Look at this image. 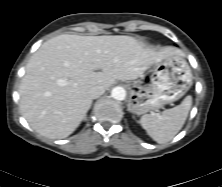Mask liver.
<instances>
[{"instance_id": "liver-1", "label": "liver", "mask_w": 222, "mask_h": 187, "mask_svg": "<svg viewBox=\"0 0 222 187\" xmlns=\"http://www.w3.org/2000/svg\"><path fill=\"white\" fill-rule=\"evenodd\" d=\"M176 53L173 47H149L130 36H56L44 42L26 66L19 86L20 111L40 135L66 138L91 107V87L106 90L116 80L137 79ZM59 79L66 84H58Z\"/></svg>"}]
</instances>
